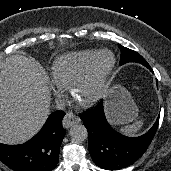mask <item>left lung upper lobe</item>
<instances>
[{
  "label": "left lung upper lobe",
  "instance_id": "obj_1",
  "mask_svg": "<svg viewBox=\"0 0 171 171\" xmlns=\"http://www.w3.org/2000/svg\"><path fill=\"white\" fill-rule=\"evenodd\" d=\"M118 47L121 50L120 65L125 64L127 62H137L146 66L147 68L150 67L147 61L139 53L128 49L122 45H118Z\"/></svg>",
  "mask_w": 171,
  "mask_h": 171
}]
</instances>
